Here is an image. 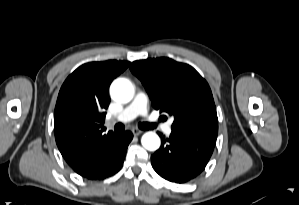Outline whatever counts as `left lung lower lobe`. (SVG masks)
I'll list each match as a JSON object with an SVG mask.
<instances>
[{
    "label": "left lung lower lobe",
    "instance_id": "left-lung-lower-lobe-1",
    "mask_svg": "<svg viewBox=\"0 0 299 205\" xmlns=\"http://www.w3.org/2000/svg\"><path fill=\"white\" fill-rule=\"evenodd\" d=\"M218 131L172 130L151 162L154 170L164 179L185 183L199 175L206 167L214 149Z\"/></svg>",
    "mask_w": 299,
    "mask_h": 205
}]
</instances>
